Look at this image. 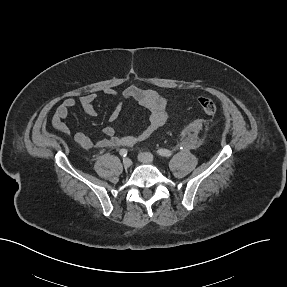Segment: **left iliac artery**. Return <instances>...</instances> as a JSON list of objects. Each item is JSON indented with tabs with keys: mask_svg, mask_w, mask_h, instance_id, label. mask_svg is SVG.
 Wrapping results in <instances>:
<instances>
[{
	"mask_svg": "<svg viewBox=\"0 0 287 287\" xmlns=\"http://www.w3.org/2000/svg\"><path fill=\"white\" fill-rule=\"evenodd\" d=\"M184 145H180V149H183ZM157 154L163 157H171L172 156V152L167 150V149H159L157 151Z\"/></svg>",
	"mask_w": 287,
	"mask_h": 287,
	"instance_id": "left-iliac-artery-1",
	"label": "left iliac artery"
}]
</instances>
